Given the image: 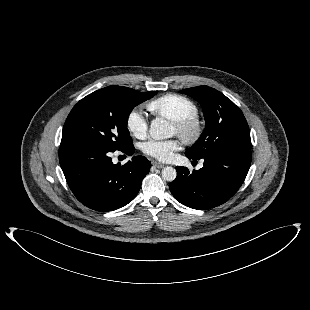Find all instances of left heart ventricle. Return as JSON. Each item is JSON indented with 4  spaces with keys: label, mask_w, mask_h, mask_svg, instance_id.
<instances>
[{
    "label": "left heart ventricle",
    "mask_w": 310,
    "mask_h": 310,
    "mask_svg": "<svg viewBox=\"0 0 310 310\" xmlns=\"http://www.w3.org/2000/svg\"><path fill=\"white\" fill-rule=\"evenodd\" d=\"M173 132L176 133V128H175V126H173Z\"/></svg>",
    "instance_id": "obj_1"
}]
</instances>
